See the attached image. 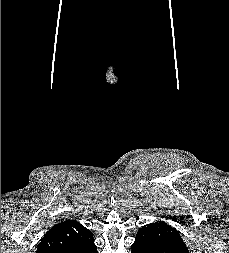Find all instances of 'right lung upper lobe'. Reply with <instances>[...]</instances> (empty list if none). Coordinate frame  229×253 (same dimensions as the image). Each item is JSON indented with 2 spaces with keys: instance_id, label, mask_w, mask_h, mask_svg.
Masks as SVG:
<instances>
[{
  "instance_id": "cb5924a9",
  "label": "right lung upper lobe",
  "mask_w": 229,
  "mask_h": 253,
  "mask_svg": "<svg viewBox=\"0 0 229 253\" xmlns=\"http://www.w3.org/2000/svg\"><path fill=\"white\" fill-rule=\"evenodd\" d=\"M93 234L75 220H64L42 238L36 253H68L93 240Z\"/></svg>"
}]
</instances>
